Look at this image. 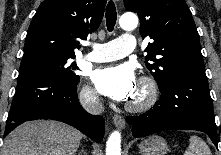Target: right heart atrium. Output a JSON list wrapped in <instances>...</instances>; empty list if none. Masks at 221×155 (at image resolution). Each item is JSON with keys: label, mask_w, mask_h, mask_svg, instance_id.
Listing matches in <instances>:
<instances>
[{"label": "right heart atrium", "mask_w": 221, "mask_h": 155, "mask_svg": "<svg viewBox=\"0 0 221 155\" xmlns=\"http://www.w3.org/2000/svg\"><path fill=\"white\" fill-rule=\"evenodd\" d=\"M80 99L83 104L88 106H95L99 103L97 92L90 86L86 85L80 92Z\"/></svg>", "instance_id": "obj_1"}]
</instances>
